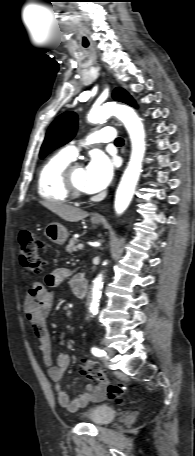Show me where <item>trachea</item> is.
Instances as JSON below:
<instances>
[{
    "label": "trachea",
    "instance_id": "trachea-1",
    "mask_svg": "<svg viewBox=\"0 0 195 456\" xmlns=\"http://www.w3.org/2000/svg\"><path fill=\"white\" fill-rule=\"evenodd\" d=\"M123 143H124V141H123L122 138H117V139L115 140V144H116V145H122Z\"/></svg>",
    "mask_w": 195,
    "mask_h": 456
}]
</instances>
